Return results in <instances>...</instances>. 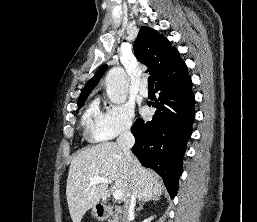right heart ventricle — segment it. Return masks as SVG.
Wrapping results in <instances>:
<instances>
[{
  "label": "right heart ventricle",
  "mask_w": 257,
  "mask_h": 222,
  "mask_svg": "<svg viewBox=\"0 0 257 222\" xmlns=\"http://www.w3.org/2000/svg\"><path fill=\"white\" fill-rule=\"evenodd\" d=\"M101 117V112L99 108V102L93 100L85 110L82 116V125L90 134V136L95 139L98 131V122ZM96 140V139H95Z\"/></svg>",
  "instance_id": "e07e8e85"
}]
</instances>
